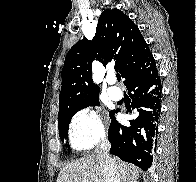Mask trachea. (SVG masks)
Listing matches in <instances>:
<instances>
[{"mask_svg": "<svg viewBox=\"0 0 196 182\" xmlns=\"http://www.w3.org/2000/svg\"><path fill=\"white\" fill-rule=\"evenodd\" d=\"M117 80L120 81L121 80V76L120 74H116Z\"/></svg>", "mask_w": 196, "mask_h": 182, "instance_id": "trachea-1", "label": "trachea"}]
</instances>
